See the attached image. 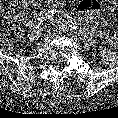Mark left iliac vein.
I'll use <instances>...</instances> for the list:
<instances>
[{
	"mask_svg": "<svg viewBox=\"0 0 118 118\" xmlns=\"http://www.w3.org/2000/svg\"><path fill=\"white\" fill-rule=\"evenodd\" d=\"M58 25L60 26V28L62 29V31H67V27L65 25H63L62 23H58Z\"/></svg>",
	"mask_w": 118,
	"mask_h": 118,
	"instance_id": "obj_1",
	"label": "left iliac vein"
}]
</instances>
